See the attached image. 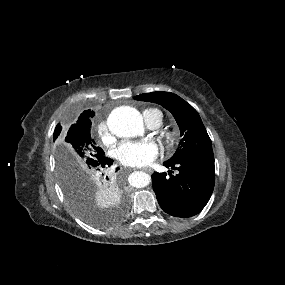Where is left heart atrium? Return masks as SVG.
Masks as SVG:
<instances>
[{
  "label": "left heart atrium",
  "instance_id": "1",
  "mask_svg": "<svg viewBox=\"0 0 285 285\" xmlns=\"http://www.w3.org/2000/svg\"><path fill=\"white\" fill-rule=\"evenodd\" d=\"M159 149L153 141H122L114 150L115 157L124 165L144 167L158 155Z\"/></svg>",
  "mask_w": 285,
  "mask_h": 285
}]
</instances>
